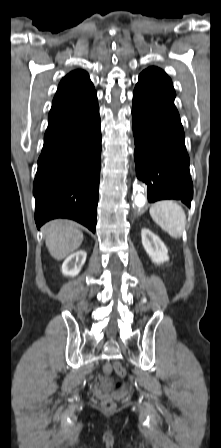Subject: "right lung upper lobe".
Wrapping results in <instances>:
<instances>
[{
    "label": "right lung upper lobe",
    "instance_id": "right-lung-upper-lobe-1",
    "mask_svg": "<svg viewBox=\"0 0 221 448\" xmlns=\"http://www.w3.org/2000/svg\"><path fill=\"white\" fill-rule=\"evenodd\" d=\"M95 92L87 72L83 70L70 72L61 80L58 86L49 117L84 101Z\"/></svg>",
    "mask_w": 221,
    "mask_h": 448
}]
</instances>
